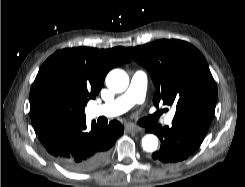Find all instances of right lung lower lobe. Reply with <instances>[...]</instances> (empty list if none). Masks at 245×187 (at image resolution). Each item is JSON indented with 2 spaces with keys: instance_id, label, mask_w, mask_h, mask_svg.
<instances>
[{
  "instance_id": "1",
  "label": "right lung lower lobe",
  "mask_w": 245,
  "mask_h": 187,
  "mask_svg": "<svg viewBox=\"0 0 245 187\" xmlns=\"http://www.w3.org/2000/svg\"><path fill=\"white\" fill-rule=\"evenodd\" d=\"M86 117L55 122L37 133L39 140L52 158L64 168L75 172H88L102 166L109 150L124 132L118 121L100 127L92 123L86 129Z\"/></svg>"
}]
</instances>
